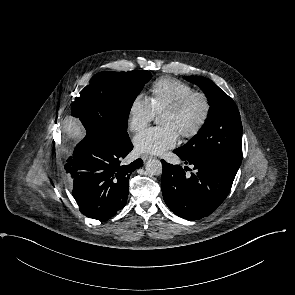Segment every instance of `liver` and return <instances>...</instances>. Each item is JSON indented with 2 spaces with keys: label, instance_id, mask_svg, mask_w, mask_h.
<instances>
[{
  "label": "liver",
  "instance_id": "6515ba94",
  "mask_svg": "<svg viewBox=\"0 0 295 295\" xmlns=\"http://www.w3.org/2000/svg\"><path fill=\"white\" fill-rule=\"evenodd\" d=\"M64 130L73 139H80L84 135V131L80 124L73 119H67L64 124Z\"/></svg>",
  "mask_w": 295,
  "mask_h": 295
}]
</instances>
